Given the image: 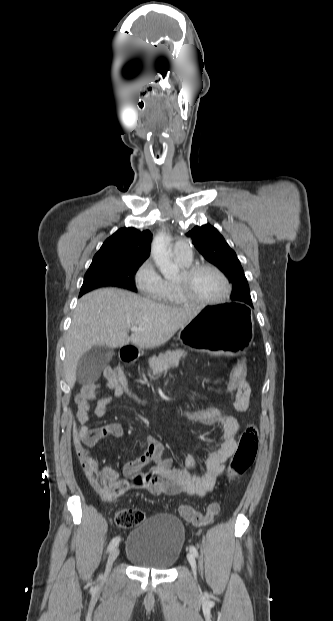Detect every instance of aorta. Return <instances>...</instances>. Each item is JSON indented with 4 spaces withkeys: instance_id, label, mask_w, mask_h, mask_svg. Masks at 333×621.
<instances>
[{
    "instance_id": "obj_1",
    "label": "aorta",
    "mask_w": 333,
    "mask_h": 621,
    "mask_svg": "<svg viewBox=\"0 0 333 621\" xmlns=\"http://www.w3.org/2000/svg\"><path fill=\"white\" fill-rule=\"evenodd\" d=\"M169 237L166 233H159L152 241L151 254L153 259L165 277L178 274V267L171 263L168 250Z\"/></svg>"
}]
</instances>
